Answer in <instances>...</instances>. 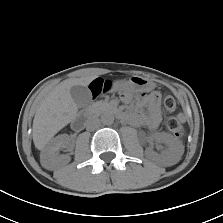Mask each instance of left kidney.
I'll list each match as a JSON object with an SVG mask.
<instances>
[{"label": "left kidney", "instance_id": "5707ae66", "mask_svg": "<svg viewBox=\"0 0 223 223\" xmlns=\"http://www.w3.org/2000/svg\"><path fill=\"white\" fill-rule=\"evenodd\" d=\"M153 138L166 145V148L163 149L160 153L153 151L151 148L146 150V155L149 159L159 164L166 166L173 165L177 163L183 152V145L172 135L167 133H155Z\"/></svg>", "mask_w": 223, "mask_h": 223}]
</instances>
